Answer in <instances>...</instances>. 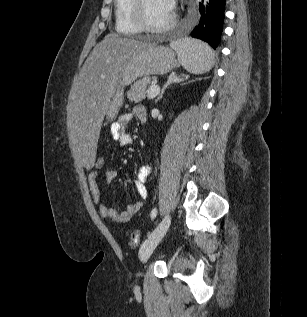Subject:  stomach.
Here are the masks:
<instances>
[{"label": "stomach", "instance_id": "obj_1", "mask_svg": "<svg viewBox=\"0 0 307 317\" xmlns=\"http://www.w3.org/2000/svg\"><path fill=\"white\" fill-rule=\"evenodd\" d=\"M178 64L175 53L164 46H147L132 54L123 64L117 86L108 103L106 117L116 118L124 100V87L140 77L162 75L170 72Z\"/></svg>", "mask_w": 307, "mask_h": 317}]
</instances>
